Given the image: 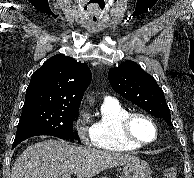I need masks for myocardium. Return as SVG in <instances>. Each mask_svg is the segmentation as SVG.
I'll return each mask as SVG.
<instances>
[{
	"mask_svg": "<svg viewBox=\"0 0 194 178\" xmlns=\"http://www.w3.org/2000/svg\"><path fill=\"white\" fill-rule=\"evenodd\" d=\"M136 118H143V119L147 120L153 126V128L155 130V136L151 141H148V142L141 141L133 135L132 130H131V126H132L133 121ZM119 130H120L121 137L125 141H127L133 145L139 146V147L151 145L154 142H156L158 137H159V128H158V125H157L155 119L152 116H150L146 113H143V112H129L128 114H126L120 120Z\"/></svg>",
	"mask_w": 194,
	"mask_h": 178,
	"instance_id": "1",
	"label": "myocardium"
}]
</instances>
